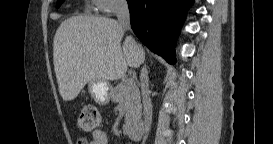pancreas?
<instances>
[{
	"label": "pancreas",
	"mask_w": 273,
	"mask_h": 144,
	"mask_svg": "<svg viewBox=\"0 0 273 144\" xmlns=\"http://www.w3.org/2000/svg\"><path fill=\"white\" fill-rule=\"evenodd\" d=\"M125 80L116 87L111 88V99L114 103H123L126 109L125 125L131 126L138 121L141 116L140 92L135 85L132 88L127 87Z\"/></svg>",
	"instance_id": "pancreas-1"
}]
</instances>
